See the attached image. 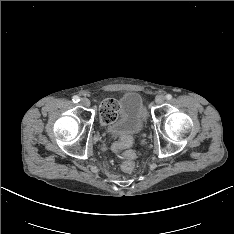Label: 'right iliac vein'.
I'll list each match as a JSON object with an SVG mask.
<instances>
[{
	"label": "right iliac vein",
	"mask_w": 234,
	"mask_h": 234,
	"mask_svg": "<svg viewBox=\"0 0 234 234\" xmlns=\"http://www.w3.org/2000/svg\"><path fill=\"white\" fill-rule=\"evenodd\" d=\"M80 104L85 106V107H89L90 106V101L87 98H81Z\"/></svg>",
	"instance_id": "right-iliac-vein-1"
}]
</instances>
